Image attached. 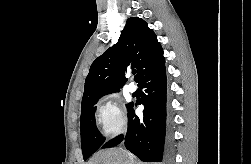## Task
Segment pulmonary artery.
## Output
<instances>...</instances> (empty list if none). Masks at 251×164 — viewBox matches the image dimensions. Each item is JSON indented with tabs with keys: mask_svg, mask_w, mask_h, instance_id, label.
<instances>
[{
	"mask_svg": "<svg viewBox=\"0 0 251 164\" xmlns=\"http://www.w3.org/2000/svg\"><path fill=\"white\" fill-rule=\"evenodd\" d=\"M127 90L130 92V93H134L136 90H137V87L134 83H129L127 85Z\"/></svg>",
	"mask_w": 251,
	"mask_h": 164,
	"instance_id": "e3ab8cb5",
	"label": "pulmonary artery"
}]
</instances>
